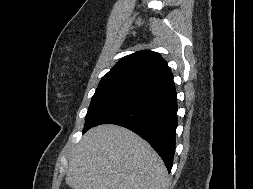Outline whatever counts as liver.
Here are the masks:
<instances>
[{
    "label": "liver",
    "instance_id": "liver-1",
    "mask_svg": "<svg viewBox=\"0 0 253 189\" xmlns=\"http://www.w3.org/2000/svg\"><path fill=\"white\" fill-rule=\"evenodd\" d=\"M167 170L140 136L116 125H100L74 148L66 184L73 189H163Z\"/></svg>",
    "mask_w": 253,
    "mask_h": 189
}]
</instances>
